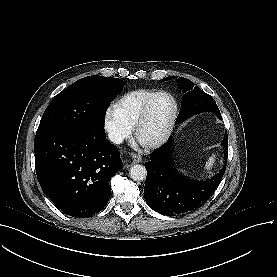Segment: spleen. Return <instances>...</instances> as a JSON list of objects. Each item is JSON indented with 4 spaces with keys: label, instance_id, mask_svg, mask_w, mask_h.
Listing matches in <instances>:
<instances>
[{
    "label": "spleen",
    "instance_id": "3e777b00",
    "mask_svg": "<svg viewBox=\"0 0 277 277\" xmlns=\"http://www.w3.org/2000/svg\"><path fill=\"white\" fill-rule=\"evenodd\" d=\"M214 162H215V156L212 155V156L209 158L208 162L206 163L205 168H206L207 170H210V169L212 168Z\"/></svg>",
    "mask_w": 277,
    "mask_h": 277
}]
</instances>
